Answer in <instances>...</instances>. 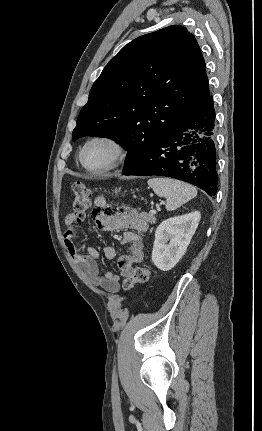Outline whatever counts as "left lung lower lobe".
I'll use <instances>...</instances> for the list:
<instances>
[{
  "instance_id": "1",
  "label": "left lung lower lobe",
  "mask_w": 262,
  "mask_h": 431,
  "mask_svg": "<svg viewBox=\"0 0 262 431\" xmlns=\"http://www.w3.org/2000/svg\"><path fill=\"white\" fill-rule=\"evenodd\" d=\"M215 110L209 96L161 137L124 175L165 176L217 192Z\"/></svg>"
}]
</instances>
